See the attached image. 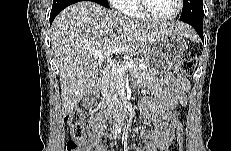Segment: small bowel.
Listing matches in <instances>:
<instances>
[{
  "label": "small bowel",
  "mask_w": 231,
  "mask_h": 151,
  "mask_svg": "<svg viewBox=\"0 0 231 151\" xmlns=\"http://www.w3.org/2000/svg\"><path fill=\"white\" fill-rule=\"evenodd\" d=\"M148 87L152 95L144 102L140 113L154 129L140 132V137L148 142L143 150L137 151H166L170 142L173 110L178 105L187 103L188 81L183 76L167 73L164 77L151 81ZM101 120L100 114H94L88 119V138L80 144L79 151H107L102 142L107 134Z\"/></svg>",
  "instance_id": "small-bowel-1"
}]
</instances>
